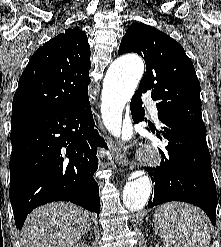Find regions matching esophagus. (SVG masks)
I'll return each mask as SVG.
<instances>
[{"label":"esophagus","instance_id":"1","mask_svg":"<svg viewBox=\"0 0 221 247\" xmlns=\"http://www.w3.org/2000/svg\"><path fill=\"white\" fill-rule=\"evenodd\" d=\"M107 140L117 163L121 166H129L130 169H132L133 165L126 158V150L123 141L122 140L115 141L110 137H107Z\"/></svg>","mask_w":221,"mask_h":247}]
</instances>
